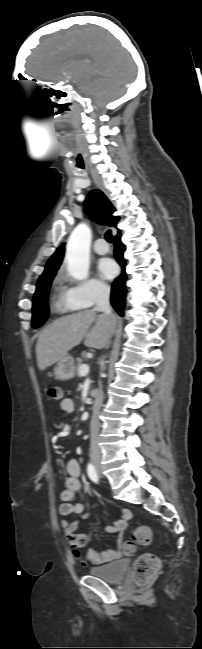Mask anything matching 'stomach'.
I'll return each instance as SVG.
<instances>
[{
    "label": "stomach",
    "mask_w": 202,
    "mask_h": 649,
    "mask_svg": "<svg viewBox=\"0 0 202 649\" xmlns=\"http://www.w3.org/2000/svg\"><path fill=\"white\" fill-rule=\"evenodd\" d=\"M78 362L72 356H65L58 361L54 368V376L57 380L65 381L73 378L77 370Z\"/></svg>",
    "instance_id": "0dacf381"
}]
</instances>
